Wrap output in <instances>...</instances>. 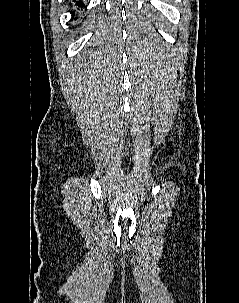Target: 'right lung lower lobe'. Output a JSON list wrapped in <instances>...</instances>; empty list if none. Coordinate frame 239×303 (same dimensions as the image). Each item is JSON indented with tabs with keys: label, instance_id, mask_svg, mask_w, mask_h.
I'll use <instances>...</instances> for the list:
<instances>
[{
	"label": "right lung lower lobe",
	"instance_id": "right-lung-lower-lobe-1",
	"mask_svg": "<svg viewBox=\"0 0 239 303\" xmlns=\"http://www.w3.org/2000/svg\"><path fill=\"white\" fill-rule=\"evenodd\" d=\"M75 1V0H74ZM76 5H78L79 7H84V4H83V2H81V1H78V2H76Z\"/></svg>",
	"mask_w": 239,
	"mask_h": 303
}]
</instances>
